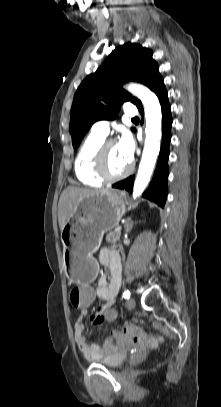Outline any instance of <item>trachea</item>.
Wrapping results in <instances>:
<instances>
[{
	"mask_svg": "<svg viewBox=\"0 0 221 407\" xmlns=\"http://www.w3.org/2000/svg\"><path fill=\"white\" fill-rule=\"evenodd\" d=\"M132 120H134V121H135V120H139V118H138V117H135V118H133Z\"/></svg>",
	"mask_w": 221,
	"mask_h": 407,
	"instance_id": "obj_1",
	"label": "trachea"
}]
</instances>
